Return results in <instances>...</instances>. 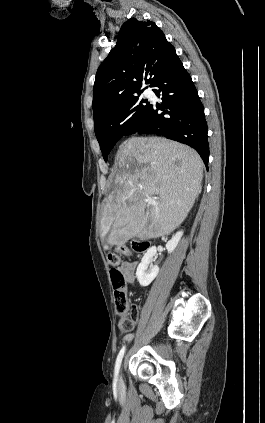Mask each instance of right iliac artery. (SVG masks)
I'll return each instance as SVG.
<instances>
[{
  "instance_id": "obj_1",
  "label": "right iliac artery",
  "mask_w": 265,
  "mask_h": 423,
  "mask_svg": "<svg viewBox=\"0 0 265 423\" xmlns=\"http://www.w3.org/2000/svg\"><path fill=\"white\" fill-rule=\"evenodd\" d=\"M124 353H125V347H123V348L120 350V352H119V354H118V356H117V359H116L115 372H114V382H115V383H116V382H117V380H118V373H119V370H120V366H121V362H122V359H123Z\"/></svg>"
}]
</instances>
